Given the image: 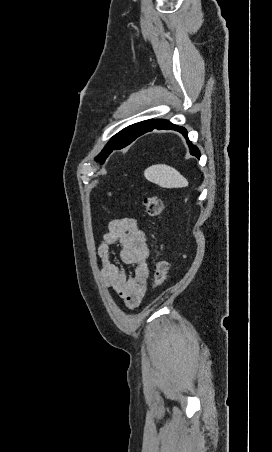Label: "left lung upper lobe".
Listing matches in <instances>:
<instances>
[{"label":"left lung upper lobe","mask_w":272,"mask_h":452,"mask_svg":"<svg viewBox=\"0 0 272 452\" xmlns=\"http://www.w3.org/2000/svg\"><path fill=\"white\" fill-rule=\"evenodd\" d=\"M154 120H146V121H142L136 124H133L125 129H123L122 131H120L119 133H117L115 136H113L110 141L106 144V146L104 147V149L101 151V153L95 158V160L99 161L101 164L104 163L105 159L109 156L110 154V146L112 145V143L114 141H116V139L118 138H125L126 139H130L133 136L137 135L139 132H141L142 130L148 128L152 122Z\"/></svg>","instance_id":"1"}]
</instances>
